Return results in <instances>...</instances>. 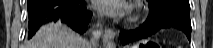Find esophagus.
Here are the masks:
<instances>
[{
    "label": "esophagus",
    "instance_id": "esophagus-1",
    "mask_svg": "<svg viewBox=\"0 0 213 48\" xmlns=\"http://www.w3.org/2000/svg\"><path fill=\"white\" fill-rule=\"evenodd\" d=\"M115 33L111 29H105L104 34H103V41L105 42L107 39H114Z\"/></svg>",
    "mask_w": 213,
    "mask_h": 48
}]
</instances>
